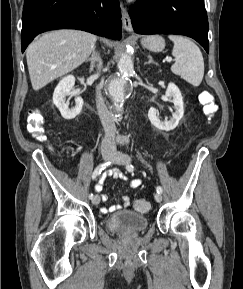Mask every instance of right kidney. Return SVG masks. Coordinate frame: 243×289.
I'll return each mask as SVG.
<instances>
[{
  "instance_id": "obj_1",
  "label": "right kidney",
  "mask_w": 243,
  "mask_h": 289,
  "mask_svg": "<svg viewBox=\"0 0 243 289\" xmlns=\"http://www.w3.org/2000/svg\"><path fill=\"white\" fill-rule=\"evenodd\" d=\"M74 84L75 77L73 75H68L58 83L53 93L54 105L59 109L62 117L67 120L74 119L77 115H79L84 104L83 99L77 96L75 98V107L69 109L65 97L66 95L71 94Z\"/></svg>"
}]
</instances>
